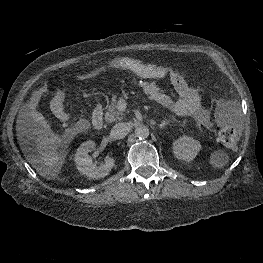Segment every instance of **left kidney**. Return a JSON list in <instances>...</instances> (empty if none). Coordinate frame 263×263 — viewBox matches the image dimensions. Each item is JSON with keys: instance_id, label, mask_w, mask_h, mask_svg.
I'll return each instance as SVG.
<instances>
[{"instance_id": "5707ae66", "label": "left kidney", "mask_w": 263, "mask_h": 263, "mask_svg": "<svg viewBox=\"0 0 263 263\" xmlns=\"http://www.w3.org/2000/svg\"><path fill=\"white\" fill-rule=\"evenodd\" d=\"M172 148L178 159L190 162L196 157L201 149V144L192 137L184 135L173 142Z\"/></svg>"}]
</instances>
